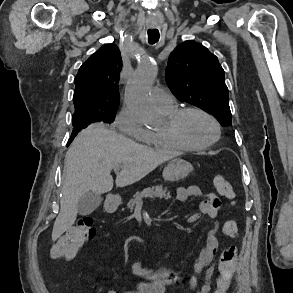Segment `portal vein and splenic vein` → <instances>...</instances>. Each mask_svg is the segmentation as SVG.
Masks as SVG:
<instances>
[{"label":"portal vein and splenic vein","mask_w":293,"mask_h":293,"mask_svg":"<svg viewBox=\"0 0 293 293\" xmlns=\"http://www.w3.org/2000/svg\"><path fill=\"white\" fill-rule=\"evenodd\" d=\"M120 168H121L120 166H117V167H115V168H114V171H116V172H117V171H119V170H120Z\"/></svg>","instance_id":"portal-vein-and-splenic-vein-1"}]
</instances>
